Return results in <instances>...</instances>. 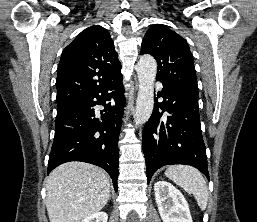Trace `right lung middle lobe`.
<instances>
[{"label": "right lung middle lobe", "mask_w": 257, "mask_h": 222, "mask_svg": "<svg viewBox=\"0 0 257 222\" xmlns=\"http://www.w3.org/2000/svg\"><path fill=\"white\" fill-rule=\"evenodd\" d=\"M71 105V104H69ZM69 105H57V112L64 110L65 108H67Z\"/></svg>", "instance_id": "dd1d6c3e"}]
</instances>
